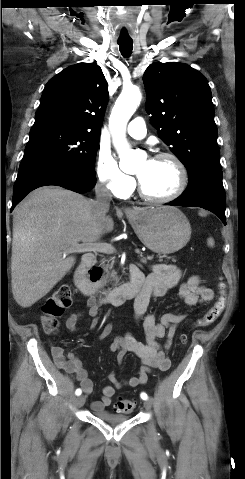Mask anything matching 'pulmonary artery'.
<instances>
[{
    "mask_svg": "<svg viewBox=\"0 0 245 479\" xmlns=\"http://www.w3.org/2000/svg\"><path fill=\"white\" fill-rule=\"evenodd\" d=\"M127 132L130 136L136 139L145 137L147 129L144 120L141 117H136L130 121L127 126Z\"/></svg>",
    "mask_w": 245,
    "mask_h": 479,
    "instance_id": "e3ab8cb5",
    "label": "pulmonary artery"
}]
</instances>
